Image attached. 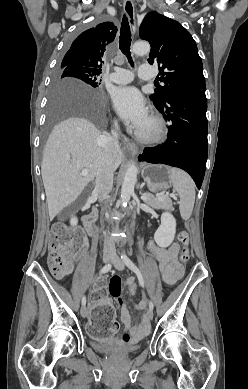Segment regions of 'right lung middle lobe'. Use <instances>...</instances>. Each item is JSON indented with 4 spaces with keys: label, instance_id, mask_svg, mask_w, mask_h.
Instances as JSON below:
<instances>
[{
    "label": "right lung middle lobe",
    "instance_id": "dd1d6c3e",
    "mask_svg": "<svg viewBox=\"0 0 248 389\" xmlns=\"http://www.w3.org/2000/svg\"><path fill=\"white\" fill-rule=\"evenodd\" d=\"M99 75L100 72H96L94 70L71 65H63L61 63V66H59L55 76V83L58 86L74 83L83 85L84 83L95 88L100 85L101 79L99 80ZM49 111L50 126L55 121L75 113L85 115L96 121L100 119L102 114L101 108L97 104L90 105L82 100L72 101L69 103L59 101L52 102Z\"/></svg>",
    "mask_w": 248,
    "mask_h": 389
}]
</instances>
